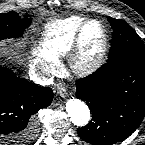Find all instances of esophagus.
I'll return each instance as SVG.
<instances>
[{"mask_svg": "<svg viewBox=\"0 0 145 145\" xmlns=\"http://www.w3.org/2000/svg\"><path fill=\"white\" fill-rule=\"evenodd\" d=\"M57 92L61 97L63 98L67 97V90L65 86L63 85L58 86Z\"/></svg>", "mask_w": 145, "mask_h": 145, "instance_id": "obj_1", "label": "esophagus"}]
</instances>
